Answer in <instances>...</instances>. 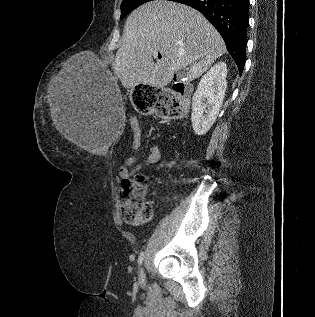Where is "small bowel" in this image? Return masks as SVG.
<instances>
[{
    "mask_svg": "<svg viewBox=\"0 0 315 317\" xmlns=\"http://www.w3.org/2000/svg\"><path fill=\"white\" fill-rule=\"evenodd\" d=\"M162 158V150L155 145L149 149L146 159L141 163H137L136 155L129 156L119 169L120 178L122 179V181L125 179H129L138 171H140L143 167L156 164L160 162Z\"/></svg>",
    "mask_w": 315,
    "mask_h": 317,
    "instance_id": "1",
    "label": "small bowel"
}]
</instances>
